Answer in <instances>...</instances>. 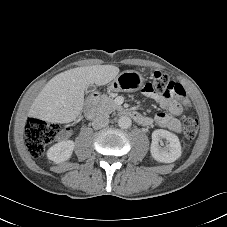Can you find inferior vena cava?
Returning a JSON list of instances; mask_svg holds the SVG:
<instances>
[{
  "label": "inferior vena cava",
  "mask_w": 227,
  "mask_h": 227,
  "mask_svg": "<svg viewBox=\"0 0 227 227\" xmlns=\"http://www.w3.org/2000/svg\"><path fill=\"white\" fill-rule=\"evenodd\" d=\"M109 124V119L106 116H97L92 122L94 129H101Z\"/></svg>",
  "instance_id": "obj_1"
}]
</instances>
